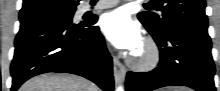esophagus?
<instances>
[{
    "mask_svg": "<svg viewBox=\"0 0 220 91\" xmlns=\"http://www.w3.org/2000/svg\"><path fill=\"white\" fill-rule=\"evenodd\" d=\"M113 73L116 83H120L124 80L126 69L117 57L113 59Z\"/></svg>",
    "mask_w": 220,
    "mask_h": 91,
    "instance_id": "34e87169",
    "label": "esophagus"
}]
</instances>
